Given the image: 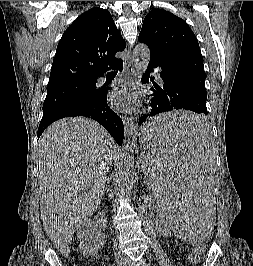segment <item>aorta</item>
<instances>
[{
	"mask_svg": "<svg viewBox=\"0 0 253 266\" xmlns=\"http://www.w3.org/2000/svg\"><path fill=\"white\" fill-rule=\"evenodd\" d=\"M135 60V70L138 76H142L148 67L150 60V50L145 44H138L133 51ZM118 181L122 195L128 194L135 183L134 180V158L129 151L121 154L120 161L117 165Z\"/></svg>",
	"mask_w": 253,
	"mask_h": 266,
	"instance_id": "aorta-1",
	"label": "aorta"
}]
</instances>
